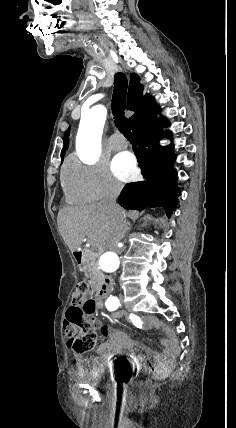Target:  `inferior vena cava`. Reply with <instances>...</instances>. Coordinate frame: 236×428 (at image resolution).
Wrapping results in <instances>:
<instances>
[{
    "instance_id": "1",
    "label": "inferior vena cava",
    "mask_w": 236,
    "mask_h": 428,
    "mask_svg": "<svg viewBox=\"0 0 236 428\" xmlns=\"http://www.w3.org/2000/svg\"><path fill=\"white\" fill-rule=\"evenodd\" d=\"M107 182V190H108V198H107V208L108 210H111V212H114L116 214V224L122 225L123 224V212L116 204V200L120 194V190L122 188L121 184L119 182H116L114 178H106Z\"/></svg>"
}]
</instances>
